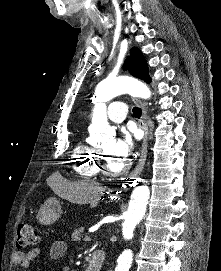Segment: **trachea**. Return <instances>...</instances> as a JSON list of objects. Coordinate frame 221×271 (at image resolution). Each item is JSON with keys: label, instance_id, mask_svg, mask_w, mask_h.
<instances>
[{"label": "trachea", "instance_id": "3493384b", "mask_svg": "<svg viewBox=\"0 0 221 271\" xmlns=\"http://www.w3.org/2000/svg\"><path fill=\"white\" fill-rule=\"evenodd\" d=\"M132 112H133V115H134L136 118H140V117H141V114H142L141 108H137V107L135 106V107L133 108Z\"/></svg>", "mask_w": 221, "mask_h": 271}]
</instances>
